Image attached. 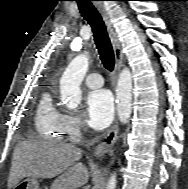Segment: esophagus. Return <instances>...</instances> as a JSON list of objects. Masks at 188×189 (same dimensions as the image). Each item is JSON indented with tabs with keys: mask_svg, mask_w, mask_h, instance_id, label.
Segmentation results:
<instances>
[{
	"mask_svg": "<svg viewBox=\"0 0 188 189\" xmlns=\"http://www.w3.org/2000/svg\"><path fill=\"white\" fill-rule=\"evenodd\" d=\"M93 3L103 18V21L105 23L107 32L109 34V37H110V40L112 43L114 56H115V62H116L115 72H114V85H115L118 74H119L121 66H122V59H123L120 41H119L118 36L113 28L110 17L104 8V5L98 0H94ZM118 131H119V126H118V120L116 118L110 131L107 133V135L105 136L103 141L96 147V149L94 151V155L96 157L103 156L105 153H107L113 147V145L117 139Z\"/></svg>",
	"mask_w": 188,
	"mask_h": 189,
	"instance_id": "obj_1",
	"label": "esophagus"
}]
</instances>
